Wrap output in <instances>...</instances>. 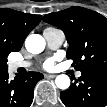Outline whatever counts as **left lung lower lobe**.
Returning <instances> with one entry per match:
<instances>
[{
    "instance_id": "obj_1",
    "label": "left lung lower lobe",
    "mask_w": 107,
    "mask_h": 107,
    "mask_svg": "<svg viewBox=\"0 0 107 107\" xmlns=\"http://www.w3.org/2000/svg\"><path fill=\"white\" fill-rule=\"evenodd\" d=\"M60 97L66 107H107V74L82 72Z\"/></svg>"
}]
</instances>
